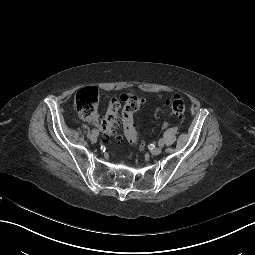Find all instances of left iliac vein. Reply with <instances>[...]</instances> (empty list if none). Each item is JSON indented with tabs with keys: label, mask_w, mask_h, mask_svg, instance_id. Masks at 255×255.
<instances>
[{
	"label": "left iliac vein",
	"mask_w": 255,
	"mask_h": 255,
	"mask_svg": "<svg viewBox=\"0 0 255 255\" xmlns=\"http://www.w3.org/2000/svg\"><path fill=\"white\" fill-rule=\"evenodd\" d=\"M162 152V148L159 146V147H155L154 149H152L151 153L152 155H159L160 153Z\"/></svg>",
	"instance_id": "left-iliac-vein-1"
}]
</instances>
